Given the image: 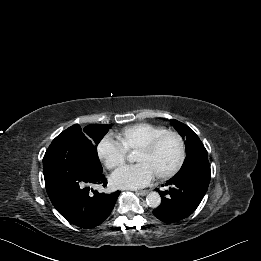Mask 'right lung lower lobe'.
Here are the masks:
<instances>
[{"instance_id": "obj_1", "label": "right lung lower lobe", "mask_w": 261, "mask_h": 261, "mask_svg": "<svg viewBox=\"0 0 261 261\" xmlns=\"http://www.w3.org/2000/svg\"><path fill=\"white\" fill-rule=\"evenodd\" d=\"M48 196L57 211L81 228L101 224L111 213L120 194H100L95 185H107L101 170L89 167L80 145L59 167L43 168Z\"/></svg>"}]
</instances>
